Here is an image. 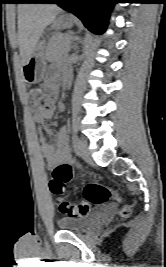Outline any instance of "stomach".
I'll return each instance as SVG.
<instances>
[{"instance_id":"1","label":"stomach","mask_w":166,"mask_h":267,"mask_svg":"<svg viewBox=\"0 0 166 267\" xmlns=\"http://www.w3.org/2000/svg\"><path fill=\"white\" fill-rule=\"evenodd\" d=\"M73 19L66 15H59L52 23V28L61 30L71 28ZM46 43L42 40L24 63L22 68L23 79L28 84H36L45 80L47 64L45 58Z\"/></svg>"}]
</instances>
